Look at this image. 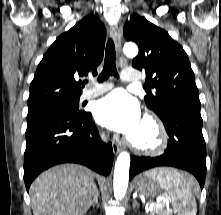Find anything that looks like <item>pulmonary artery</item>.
<instances>
[{
  "instance_id": "obj_1",
  "label": "pulmonary artery",
  "mask_w": 221,
  "mask_h": 215,
  "mask_svg": "<svg viewBox=\"0 0 221 215\" xmlns=\"http://www.w3.org/2000/svg\"><path fill=\"white\" fill-rule=\"evenodd\" d=\"M122 77H123V80L127 83L135 84L141 81L140 75L137 73L136 70L132 68L125 69L122 73ZM112 87L113 85L111 83H104V84L97 85L96 87L92 89L85 90L80 96V101H85V100H89L94 97H97L107 92Z\"/></svg>"
}]
</instances>
